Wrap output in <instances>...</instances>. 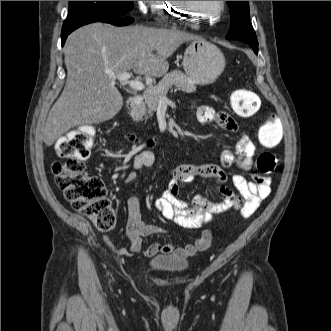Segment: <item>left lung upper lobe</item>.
<instances>
[{
	"label": "left lung upper lobe",
	"instance_id": "1",
	"mask_svg": "<svg viewBox=\"0 0 331 331\" xmlns=\"http://www.w3.org/2000/svg\"><path fill=\"white\" fill-rule=\"evenodd\" d=\"M231 14V26L226 36L228 40L257 43V38L249 20L248 1H227Z\"/></svg>",
	"mask_w": 331,
	"mask_h": 331
}]
</instances>
